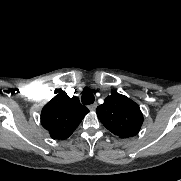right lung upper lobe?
Here are the masks:
<instances>
[{
	"label": "right lung upper lobe",
	"instance_id": "right-lung-upper-lobe-1",
	"mask_svg": "<svg viewBox=\"0 0 181 181\" xmlns=\"http://www.w3.org/2000/svg\"><path fill=\"white\" fill-rule=\"evenodd\" d=\"M89 112L77 97L60 91L42 109L41 124L53 139H67Z\"/></svg>",
	"mask_w": 181,
	"mask_h": 181
}]
</instances>
